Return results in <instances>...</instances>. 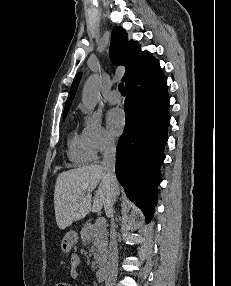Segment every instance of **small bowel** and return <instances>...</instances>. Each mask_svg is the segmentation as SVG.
Here are the masks:
<instances>
[{
    "label": "small bowel",
    "mask_w": 231,
    "mask_h": 286,
    "mask_svg": "<svg viewBox=\"0 0 231 286\" xmlns=\"http://www.w3.org/2000/svg\"><path fill=\"white\" fill-rule=\"evenodd\" d=\"M80 265V258L78 255L73 254L71 256L70 259V266H71V270H70V274L73 278H77L78 277V267Z\"/></svg>",
    "instance_id": "small-bowel-1"
}]
</instances>
